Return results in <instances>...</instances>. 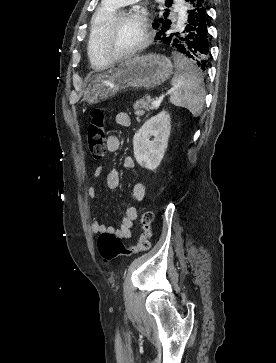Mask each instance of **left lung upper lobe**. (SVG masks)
Here are the masks:
<instances>
[{"label":"left lung upper lobe","instance_id":"5c2ea615","mask_svg":"<svg viewBox=\"0 0 276 363\" xmlns=\"http://www.w3.org/2000/svg\"><path fill=\"white\" fill-rule=\"evenodd\" d=\"M166 4L170 5L171 4V0H167L166 1ZM167 15L168 14H165L164 15V18H160L158 24H154V27L156 29L158 28L160 30L162 27L167 26V25H170L172 23L171 20L167 19Z\"/></svg>","mask_w":276,"mask_h":363}]
</instances>
